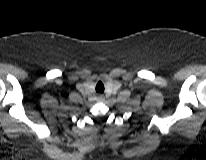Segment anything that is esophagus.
Instances as JSON below:
<instances>
[{"instance_id": "obj_1", "label": "esophagus", "mask_w": 206, "mask_h": 160, "mask_svg": "<svg viewBox=\"0 0 206 160\" xmlns=\"http://www.w3.org/2000/svg\"><path fill=\"white\" fill-rule=\"evenodd\" d=\"M96 100L97 101H103L104 100V96L99 94L97 97H96Z\"/></svg>"}]
</instances>
